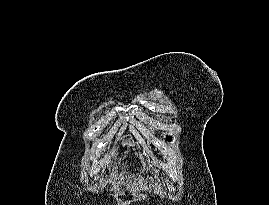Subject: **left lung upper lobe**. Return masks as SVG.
Here are the masks:
<instances>
[{"label": "left lung upper lobe", "mask_w": 269, "mask_h": 205, "mask_svg": "<svg viewBox=\"0 0 269 205\" xmlns=\"http://www.w3.org/2000/svg\"><path fill=\"white\" fill-rule=\"evenodd\" d=\"M167 139H168V140H171V139H172V137H167Z\"/></svg>", "instance_id": "1"}]
</instances>
